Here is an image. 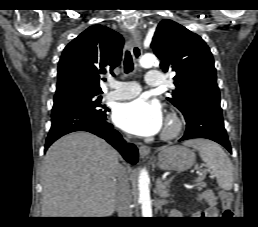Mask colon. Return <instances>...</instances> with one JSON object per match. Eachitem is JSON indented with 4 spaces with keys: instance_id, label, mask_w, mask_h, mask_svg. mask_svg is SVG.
Masks as SVG:
<instances>
[{
    "instance_id": "colon-1",
    "label": "colon",
    "mask_w": 258,
    "mask_h": 227,
    "mask_svg": "<svg viewBox=\"0 0 258 227\" xmlns=\"http://www.w3.org/2000/svg\"><path fill=\"white\" fill-rule=\"evenodd\" d=\"M221 202H222V215L225 218H231L233 215L232 212V201L233 197L232 194L229 191L221 190L219 192Z\"/></svg>"
}]
</instances>
